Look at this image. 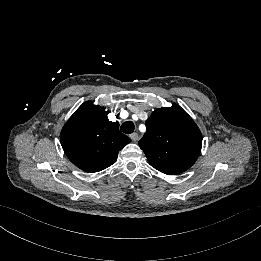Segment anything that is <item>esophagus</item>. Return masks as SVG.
I'll use <instances>...</instances> for the list:
<instances>
[{
	"instance_id": "34e87169",
	"label": "esophagus",
	"mask_w": 261,
	"mask_h": 261,
	"mask_svg": "<svg viewBox=\"0 0 261 261\" xmlns=\"http://www.w3.org/2000/svg\"><path fill=\"white\" fill-rule=\"evenodd\" d=\"M130 138L133 142H136L139 139V135L137 133H132Z\"/></svg>"
}]
</instances>
